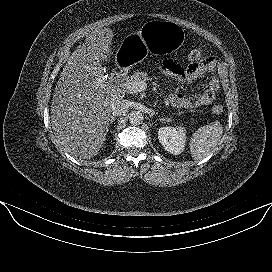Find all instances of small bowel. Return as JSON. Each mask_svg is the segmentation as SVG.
<instances>
[{
	"label": "small bowel",
	"instance_id": "small-bowel-1",
	"mask_svg": "<svg viewBox=\"0 0 272 272\" xmlns=\"http://www.w3.org/2000/svg\"><path fill=\"white\" fill-rule=\"evenodd\" d=\"M215 65L216 60L214 58L205 57L200 62L190 65L187 69L182 68L171 60L164 61L161 68L166 76L176 78L185 84H191L205 73L213 74ZM218 88V80L213 74L201 93L187 96L175 92L168 97V102L175 108H198L210 104L215 99Z\"/></svg>",
	"mask_w": 272,
	"mask_h": 272
}]
</instances>
